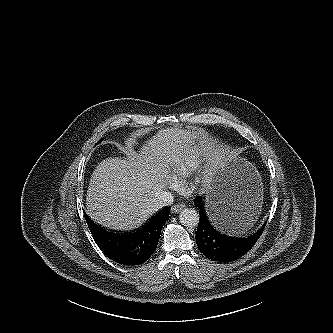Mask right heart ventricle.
<instances>
[{"mask_svg": "<svg viewBox=\"0 0 333 333\" xmlns=\"http://www.w3.org/2000/svg\"><path fill=\"white\" fill-rule=\"evenodd\" d=\"M206 151L202 146L192 147L176 156L171 162L173 174L178 178L190 176L204 160Z\"/></svg>", "mask_w": 333, "mask_h": 333, "instance_id": "right-heart-ventricle-1", "label": "right heart ventricle"}]
</instances>
